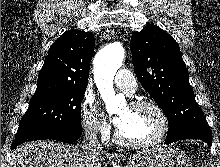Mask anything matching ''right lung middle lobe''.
<instances>
[{"instance_id":"right-lung-middle-lobe-1","label":"right lung middle lobe","mask_w":220,"mask_h":167,"mask_svg":"<svg viewBox=\"0 0 220 167\" xmlns=\"http://www.w3.org/2000/svg\"><path fill=\"white\" fill-rule=\"evenodd\" d=\"M85 90L86 87H68L31 99L20 121L16 139L46 131L59 132L82 128L81 101Z\"/></svg>"}]
</instances>
